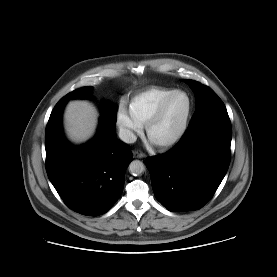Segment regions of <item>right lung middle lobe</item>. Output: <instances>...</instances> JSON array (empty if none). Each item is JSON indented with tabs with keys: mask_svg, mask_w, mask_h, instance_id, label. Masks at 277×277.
<instances>
[{
	"mask_svg": "<svg viewBox=\"0 0 277 277\" xmlns=\"http://www.w3.org/2000/svg\"><path fill=\"white\" fill-rule=\"evenodd\" d=\"M92 86L83 87L64 96L58 104H66L70 99L75 98H90L92 96ZM102 118L112 124H116L117 108L113 103H106L102 108Z\"/></svg>",
	"mask_w": 277,
	"mask_h": 277,
	"instance_id": "obj_1",
	"label": "right lung middle lobe"
}]
</instances>
